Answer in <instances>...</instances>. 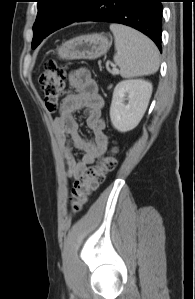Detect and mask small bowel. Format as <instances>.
Here are the masks:
<instances>
[{
  "label": "small bowel",
  "mask_w": 195,
  "mask_h": 299,
  "mask_svg": "<svg viewBox=\"0 0 195 299\" xmlns=\"http://www.w3.org/2000/svg\"><path fill=\"white\" fill-rule=\"evenodd\" d=\"M69 83L74 91L65 94L53 127L66 161L67 174L71 179L77 180L84 175L89 165L104 154L108 147V137L104 133L105 123L102 119L104 102L89 71L73 70ZM80 110L85 111L86 126L93 132L94 141L85 139L79 133L74 113ZM73 148L82 151L80 159L74 157Z\"/></svg>",
  "instance_id": "1"
}]
</instances>
